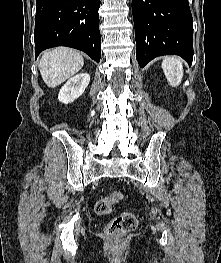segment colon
I'll return each mask as SVG.
<instances>
[{
    "mask_svg": "<svg viewBox=\"0 0 221 263\" xmlns=\"http://www.w3.org/2000/svg\"><path fill=\"white\" fill-rule=\"evenodd\" d=\"M122 192L113 190L109 196L101 198L95 205L98 214L104 215L112 211L113 206L122 199ZM137 226V218L132 212H123L111 219L107 226L106 232L113 238H119L133 231Z\"/></svg>",
    "mask_w": 221,
    "mask_h": 263,
    "instance_id": "1",
    "label": "colon"
}]
</instances>
